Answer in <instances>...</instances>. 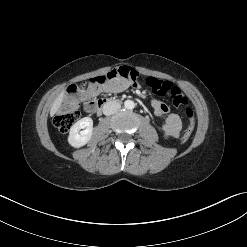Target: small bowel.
<instances>
[{
  "label": "small bowel",
  "mask_w": 247,
  "mask_h": 247,
  "mask_svg": "<svg viewBox=\"0 0 247 247\" xmlns=\"http://www.w3.org/2000/svg\"><path fill=\"white\" fill-rule=\"evenodd\" d=\"M129 87H137L136 81H132L130 77H116L103 87V91L108 93H120L127 90ZM151 104L154 108L155 114L158 116H163L169 112L168 106L157 99H152ZM85 108L89 112L94 111V102H87ZM162 130L170 137H179L182 130V121L180 116L178 114H170L163 123Z\"/></svg>",
  "instance_id": "c3829d8e"
}]
</instances>
